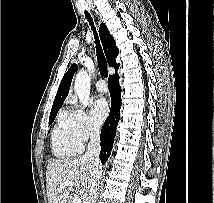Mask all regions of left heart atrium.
Segmentation results:
<instances>
[{
    "mask_svg": "<svg viewBox=\"0 0 214 203\" xmlns=\"http://www.w3.org/2000/svg\"><path fill=\"white\" fill-rule=\"evenodd\" d=\"M109 113V106L105 98H99L91 105V115L97 124H101Z\"/></svg>",
    "mask_w": 214,
    "mask_h": 203,
    "instance_id": "1",
    "label": "left heart atrium"
}]
</instances>
